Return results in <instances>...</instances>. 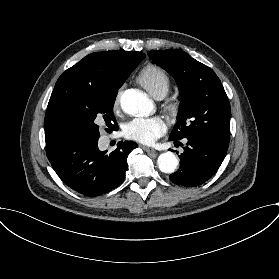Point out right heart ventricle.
I'll return each mask as SVG.
<instances>
[{
	"label": "right heart ventricle",
	"mask_w": 279,
	"mask_h": 279,
	"mask_svg": "<svg viewBox=\"0 0 279 279\" xmlns=\"http://www.w3.org/2000/svg\"><path fill=\"white\" fill-rule=\"evenodd\" d=\"M139 82L154 96L167 94L170 86L168 73L156 64H147L139 72Z\"/></svg>",
	"instance_id": "right-heart-ventricle-1"
}]
</instances>
